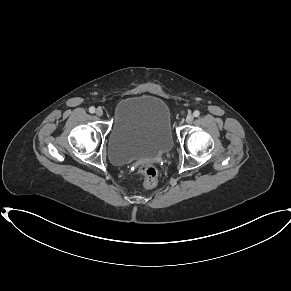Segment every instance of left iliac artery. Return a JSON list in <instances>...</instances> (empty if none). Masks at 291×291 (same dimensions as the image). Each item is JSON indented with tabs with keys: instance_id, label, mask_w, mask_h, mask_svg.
Returning <instances> with one entry per match:
<instances>
[{
	"instance_id": "44dca946",
	"label": "left iliac artery",
	"mask_w": 291,
	"mask_h": 291,
	"mask_svg": "<svg viewBox=\"0 0 291 291\" xmlns=\"http://www.w3.org/2000/svg\"><path fill=\"white\" fill-rule=\"evenodd\" d=\"M194 117H198L200 115V112L198 110L194 111L193 113Z\"/></svg>"
}]
</instances>
